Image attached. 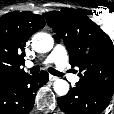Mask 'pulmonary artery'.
Here are the masks:
<instances>
[{
    "label": "pulmonary artery",
    "mask_w": 114,
    "mask_h": 114,
    "mask_svg": "<svg viewBox=\"0 0 114 114\" xmlns=\"http://www.w3.org/2000/svg\"><path fill=\"white\" fill-rule=\"evenodd\" d=\"M67 51L62 45H57L51 52V54L45 59L44 63H54L56 67L66 76L71 82L76 83L79 81V77L73 74H70L67 70ZM28 67L33 66V63L28 62Z\"/></svg>",
    "instance_id": "obj_1"
}]
</instances>
